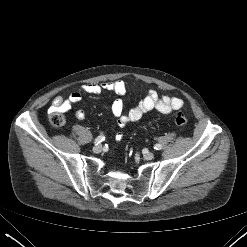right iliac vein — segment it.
<instances>
[{
    "label": "right iliac vein",
    "mask_w": 247,
    "mask_h": 247,
    "mask_svg": "<svg viewBox=\"0 0 247 247\" xmlns=\"http://www.w3.org/2000/svg\"><path fill=\"white\" fill-rule=\"evenodd\" d=\"M102 151V145H95L94 147H93V152L94 153H100Z\"/></svg>",
    "instance_id": "obj_1"
}]
</instances>
